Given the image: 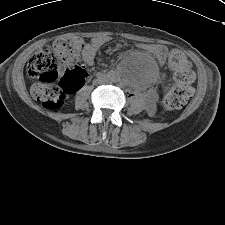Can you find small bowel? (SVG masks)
Wrapping results in <instances>:
<instances>
[{
  "mask_svg": "<svg viewBox=\"0 0 225 225\" xmlns=\"http://www.w3.org/2000/svg\"><path fill=\"white\" fill-rule=\"evenodd\" d=\"M107 42L106 37H96L91 42L85 44L82 50V62L85 65H92L94 63L95 56L98 50ZM145 49L152 53L157 61L161 64L165 61L167 56V48L163 45L152 44L146 45ZM151 110H154V106L151 105Z\"/></svg>",
  "mask_w": 225,
  "mask_h": 225,
  "instance_id": "1",
  "label": "small bowel"
}]
</instances>
